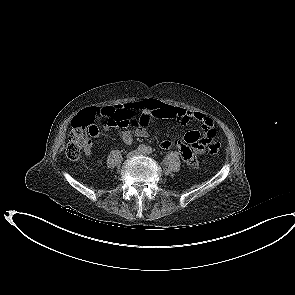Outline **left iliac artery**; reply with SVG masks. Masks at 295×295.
Here are the masks:
<instances>
[{"label":"left iliac artery","mask_w":295,"mask_h":295,"mask_svg":"<svg viewBox=\"0 0 295 295\" xmlns=\"http://www.w3.org/2000/svg\"><path fill=\"white\" fill-rule=\"evenodd\" d=\"M145 152L148 154H151L153 151H152V148L150 146H148V147H146Z\"/></svg>","instance_id":"obj_1"}]
</instances>
